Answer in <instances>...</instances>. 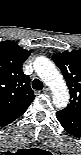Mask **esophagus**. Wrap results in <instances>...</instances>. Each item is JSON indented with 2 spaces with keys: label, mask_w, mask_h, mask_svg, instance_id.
<instances>
[{
  "label": "esophagus",
  "mask_w": 81,
  "mask_h": 155,
  "mask_svg": "<svg viewBox=\"0 0 81 155\" xmlns=\"http://www.w3.org/2000/svg\"><path fill=\"white\" fill-rule=\"evenodd\" d=\"M43 92L48 93V92H49V88L44 87V88H43Z\"/></svg>",
  "instance_id": "obj_1"
}]
</instances>
